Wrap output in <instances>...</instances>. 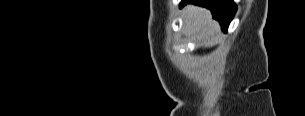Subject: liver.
<instances>
[{
	"mask_svg": "<svg viewBox=\"0 0 305 116\" xmlns=\"http://www.w3.org/2000/svg\"><path fill=\"white\" fill-rule=\"evenodd\" d=\"M184 34L199 33L197 41L204 47H212L222 40L219 24L212 19L211 12L203 7L187 5L182 14Z\"/></svg>",
	"mask_w": 305,
	"mask_h": 116,
	"instance_id": "1",
	"label": "liver"
}]
</instances>
